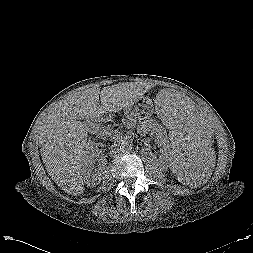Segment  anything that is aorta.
<instances>
[{
	"label": "aorta",
	"mask_w": 253,
	"mask_h": 253,
	"mask_svg": "<svg viewBox=\"0 0 253 253\" xmlns=\"http://www.w3.org/2000/svg\"><path fill=\"white\" fill-rule=\"evenodd\" d=\"M121 152L126 153L132 150V142L130 140H122L118 143Z\"/></svg>",
	"instance_id": "1"
}]
</instances>
